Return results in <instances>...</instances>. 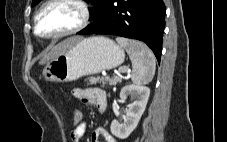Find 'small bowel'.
<instances>
[{
	"label": "small bowel",
	"mask_w": 227,
	"mask_h": 142,
	"mask_svg": "<svg viewBox=\"0 0 227 142\" xmlns=\"http://www.w3.org/2000/svg\"><path fill=\"white\" fill-rule=\"evenodd\" d=\"M72 95L79 101L92 105L98 112L106 106V93L100 88H76ZM86 130V123L79 128L72 129L69 137L71 142H80ZM103 138L105 142H117L114 137L103 128H97L91 135V142H100Z\"/></svg>",
	"instance_id": "obj_1"
}]
</instances>
